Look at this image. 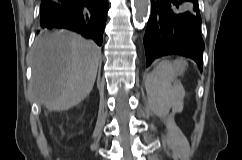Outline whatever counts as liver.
Segmentation results:
<instances>
[{
  "label": "liver",
  "mask_w": 242,
  "mask_h": 160,
  "mask_svg": "<svg viewBox=\"0 0 242 160\" xmlns=\"http://www.w3.org/2000/svg\"><path fill=\"white\" fill-rule=\"evenodd\" d=\"M101 49L76 33L61 31L36 39L31 92L49 111H65L92 91Z\"/></svg>",
  "instance_id": "obj_1"
}]
</instances>
